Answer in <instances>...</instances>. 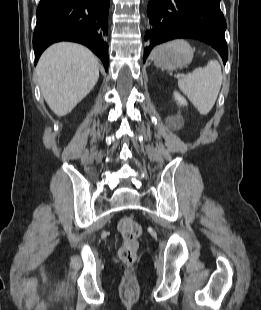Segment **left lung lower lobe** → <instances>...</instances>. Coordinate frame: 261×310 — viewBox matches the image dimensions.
<instances>
[{
	"label": "left lung lower lobe",
	"instance_id": "1",
	"mask_svg": "<svg viewBox=\"0 0 261 310\" xmlns=\"http://www.w3.org/2000/svg\"><path fill=\"white\" fill-rule=\"evenodd\" d=\"M219 4L220 0H150L144 62L157 44L176 38H194L215 48L225 64L228 59L226 21Z\"/></svg>",
	"mask_w": 261,
	"mask_h": 310
}]
</instances>
